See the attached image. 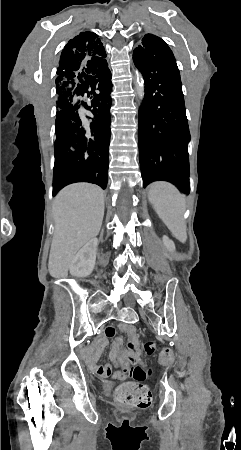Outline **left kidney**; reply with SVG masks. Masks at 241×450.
Masks as SVG:
<instances>
[{
  "mask_svg": "<svg viewBox=\"0 0 241 450\" xmlns=\"http://www.w3.org/2000/svg\"><path fill=\"white\" fill-rule=\"evenodd\" d=\"M162 240H163V244H164L165 248H167V250H169V252H174V250H175L174 242H172V240H169L168 236H163Z\"/></svg>",
  "mask_w": 241,
  "mask_h": 450,
  "instance_id": "obj_1",
  "label": "left kidney"
}]
</instances>
